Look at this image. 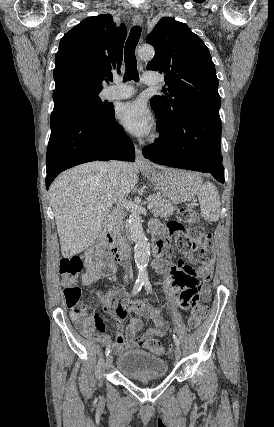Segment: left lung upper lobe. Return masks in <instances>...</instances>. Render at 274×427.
<instances>
[{"mask_svg": "<svg viewBox=\"0 0 274 427\" xmlns=\"http://www.w3.org/2000/svg\"><path fill=\"white\" fill-rule=\"evenodd\" d=\"M146 41L155 48L147 69L165 74L168 87L150 101L163 124L169 128L192 110L219 114L218 78L204 42L186 24L170 17L161 18Z\"/></svg>", "mask_w": 274, "mask_h": 427, "instance_id": "left-lung-upper-lobe-1", "label": "left lung upper lobe"}]
</instances>
